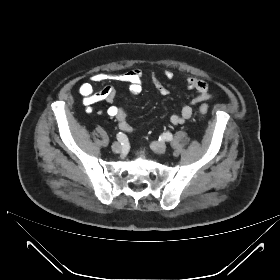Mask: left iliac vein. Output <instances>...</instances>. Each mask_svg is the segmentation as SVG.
Here are the masks:
<instances>
[{"label":"left iliac vein","instance_id":"4c4485c4","mask_svg":"<svg viewBox=\"0 0 280 280\" xmlns=\"http://www.w3.org/2000/svg\"><path fill=\"white\" fill-rule=\"evenodd\" d=\"M151 148L156 152V153H159V154H163L165 153L167 147H166V144L164 142H158V141H155V142H152L151 143Z\"/></svg>","mask_w":280,"mask_h":280}]
</instances>
